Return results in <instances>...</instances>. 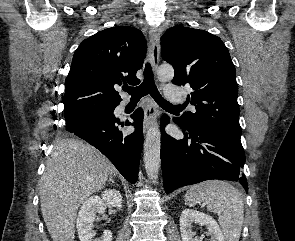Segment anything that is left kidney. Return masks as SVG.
<instances>
[{
	"label": "left kidney",
	"mask_w": 295,
	"mask_h": 241,
	"mask_svg": "<svg viewBox=\"0 0 295 241\" xmlns=\"http://www.w3.org/2000/svg\"><path fill=\"white\" fill-rule=\"evenodd\" d=\"M193 224L206 226L207 234L211 236L210 241H225L223 233L217 222L209 215L193 209H185L180 216V232L182 241H201L195 237L192 230Z\"/></svg>",
	"instance_id": "1"
}]
</instances>
